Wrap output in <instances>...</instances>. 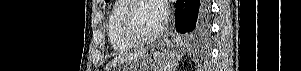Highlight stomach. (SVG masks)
<instances>
[{
	"label": "stomach",
	"mask_w": 301,
	"mask_h": 71,
	"mask_svg": "<svg viewBox=\"0 0 301 71\" xmlns=\"http://www.w3.org/2000/svg\"><path fill=\"white\" fill-rule=\"evenodd\" d=\"M177 65L174 53L155 51L136 60L117 64L110 71H175Z\"/></svg>",
	"instance_id": "stomach-1"
}]
</instances>
